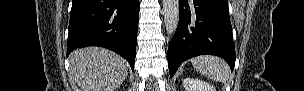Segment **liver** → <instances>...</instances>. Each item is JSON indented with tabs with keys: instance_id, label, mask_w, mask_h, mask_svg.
I'll return each mask as SVG.
<instances>
[{
	"instance_id": "6515ba94",
	"label": "liver",
	"mask_w": 304,
	"mask_h": 91,
	"mask_svg": "<svg viewBox=\"0 0 304 91\" xmlns=\"http://www.w3.org/2000/svg\"><path fill=\"white\" fill-rule=\"evenodd\" d=\"M69 62L70 74L82 91H115L129 68L116 53L95 46L73 51Z\"/></svg>"
}]
</instances>
